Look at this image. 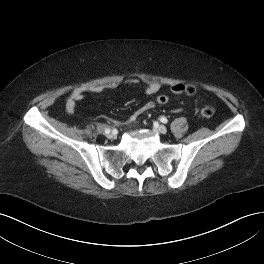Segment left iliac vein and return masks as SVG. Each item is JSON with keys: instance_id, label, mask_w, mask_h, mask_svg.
Wrapping results in <instances>:
<instances>
[{"instance_id": "left-iliac-vein-1", "label": "left iliac vein", "mask_w": 264, "mask_h": 264, "mask_svg": "<svg viewBox=\"0 0 264 264\" xmlns=\"http://www.w3.org/2000/svg\"><path fill=\"white\" fill-rule=\"evenodd\" d=\"M155 129L161 134H165L167 132V128L164 125H158Z\"/></svg>"}]
</instances>
